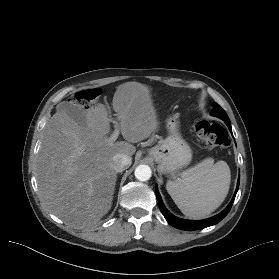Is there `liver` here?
I'll use <instances>...</instances> for the list:
<instances>
[{
	"label": "liver",
	"instance_id": "liver-1",
	"mask_svg": "<svg viewBox=\"0 0 279 279\" xmlns=\"http://www.w3.org/2000/svg\"><path fill=\"white\" fill-rule=\"evenodd\" d=\"M112 106L126 142H109L111 119L102 104L85 111V125L76 123L59 104L46 125L36 163L39 194L49 211L74 229L96 226L111 209L117 178L113 156L131 157L136 152L131 143L158 129L147 85H119Z\"/></svg>",
	"mask_w": 279,
	"mask_h": 279
}]
</instances>
